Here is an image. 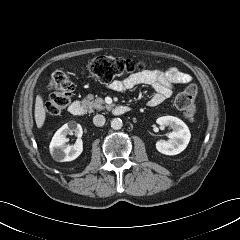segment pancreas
<instances>
[{"label": "pancreas", "mask_w": 240, "mask_h": 240, "mask_svg": "<svg viewBox=\"0 0 240 240\" xmlns=\"http://www.w3.org/2000/svg\"><path fill=\"white\" fill-rule=\"evenodd\" d=\"M83 101L87 104V106L91 112L94 109L102 110V109L106 108L107 110H110L113 107V105L105 104V101L102 98L97 97L94 99V96L92 94H90L86 98H84Z\"/></svg>", "instance_id": "obj_1"}]
</instances>
